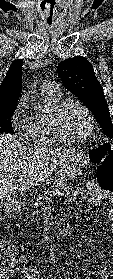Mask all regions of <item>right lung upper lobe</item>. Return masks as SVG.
<instances>
[{"instance_id":"right-lung-upper-lobe-1","label":"right lung upper lobe","mask_w":113,"mask_h":279,"mask_svg":"<svg viewBox=\"0 0 113 279\" xmlns=\"http://www.w3.org/2000/svg\"><path fill=\"white\" fill-rule=\"evenodd\" d=\"M22 63L20 59L13 61L0 85V110L17 104L21 91Z\"/></svg>"}]
</instances>
